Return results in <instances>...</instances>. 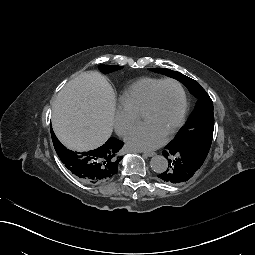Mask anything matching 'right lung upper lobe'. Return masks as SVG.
Here are the masks:
<instances>
[{
    "instance_id": "obj_1",
    "label": "right lung upper lobe",
    "mask_w": 255,
    "mask_h": 255,
    "mask_svg": "<svg viewBox=\"0 0 255 255\" xmlns=\"http://www.w3.org/2000/svg\"><path fill=\"white\" fill-rule=\"evenodd\" d=\"M54 148L60 157L63 164L69 169L77 178L86 183H103L115 176L118 172V165L122 159L121 148L123 142L112 137L101 147L83 153H76L66 149L56 138L53 131H51ZM91 154L98 159L100 167V176L97 178H85L83 176V156Z\"/></svg>"
}]
</instances>
